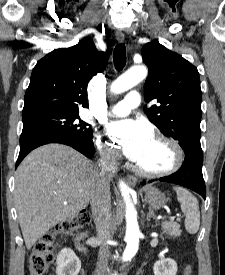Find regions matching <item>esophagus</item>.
Returning <instances> with one entry per match:
<instances>
[{"label": "esophagus", "mask_w": 225, "mask_h": 275, "mask_svg": "<svg viewBox=\"0 0 225 275\" xmlns=\"http://www.w3.org/2000/svg\"><path fill=\"white\" fill-rule=\"evenodd\" d=\"M116 39L119 43L124 42V34L122 33V31L118 30L116 32ZM127 181L129 185L134 186L137 183V178L133 175H129Z\"/></svg>", "instance_id": "1"}]
</instances>
